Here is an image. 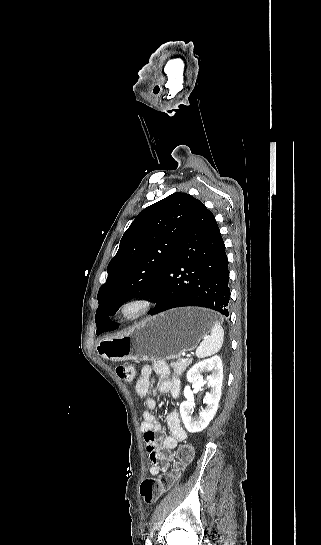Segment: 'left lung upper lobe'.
<instances>
[{
  "mask_svg": "<svg viewBox=\"0 0 321 545\" xmlns=\"http://www.w3.org/2000/svg\"><path fill=\"white\" fill-rule=\"evenodd\" d=\"M199 203L189 194L173 193L135 217L108 265L107 281L97 295V334L104 332L110 316L126 300L156 294Z\"/></svg>",
  "mask_w": 321,
  "mask_h": 545,
  "instance_id": "left-lung-upper-lobe-1",
  "label": "left lung upper lobe"
}]
</instances>
